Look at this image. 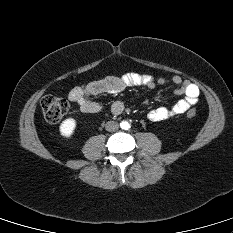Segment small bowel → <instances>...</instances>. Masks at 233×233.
<instances>
[{
  "mask_svg": "<svg viewBox=\"0 0 233 233\" xmlns=\"http://www.w3.org/2000/svg\"><path fill=\"white\" fill-rule=\"evenodd\" d=\"M170 81L177 86L175 92L184 97L171 108L158 107L148 113L151 121H163L181 115L189 110L198 101L200 94L196 84L173 76ZM168 80L164 78L155 79L149 74L127 73L122 76H108L104 79L92 81L85 85L74 87L68 95L71 102L75 103L83 113H98L102 111V105L91 100L92 96L102 93H118L128 86H144L153 89L158 84H165ZM124 110V104L116 101L111 105L110 111L119 115Z\"/></svg>",
  "mask_w": 233,
  "mask_h": 233,
  "instance_id": "small-bowel-1",
  "label": "small bowel"
}]
</instances>
